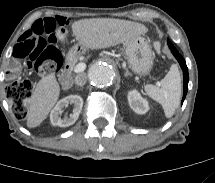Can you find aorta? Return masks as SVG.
<instances>
[{
    "mask_svg": "<svg viewBox=\"0 0 215 183\" xmlns=\"http://www.w3.org/2000/svg\"><path fill=\"white\" fill-rule=\"evenodd\" d=\"M88 77L92 85L99 88L109 86L115 77V69L105 61L94 63L88 72Z\"/></svg>",
    "mask_w": 215,
    "mask_h": 183,
    "instance_id": "aorta-1",
    "label": "aorta"
}]
</instances>
